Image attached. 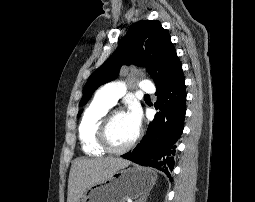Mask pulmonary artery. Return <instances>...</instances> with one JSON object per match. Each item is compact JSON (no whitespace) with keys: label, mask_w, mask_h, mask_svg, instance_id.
<instances>
[{"label":"pulmonary artery","mask_w":255,"mask_h":202,"mask_svg":"<svg viewBox=\"0 0 255 202\" xmlns=\"http://www.w3.org/2000/svg\"><path fill=\"white\" fill-rule=\"evenodd\" d=\"M138 87L145 93H153L155 91L154 85L147 79L140 80ZM126 92V85L122 81H113L102 86L96 96L113 106L118 99Z\"/></svg>","instance_id":"e3ab8cb5"}]
</instances>
